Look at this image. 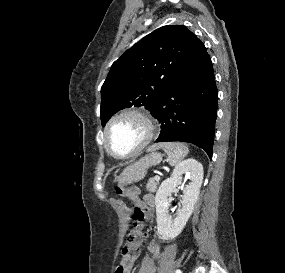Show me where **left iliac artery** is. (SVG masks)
Wrapping results in <instances>:
<instances>
[{"label": "left iliac artery", "mask_w": 285, "mask_h": 273, "mask_svg": "<svg viewBox=\"0 0 285 273\" xmlns=\"http://www.w3.org/2000/svg\"><path fill=\"white\" fill-rule=\"evenodd\" d=\"M176 273H182L181 270H176Z\"/></svg>", "instance_id": "1"}]
</instances>
